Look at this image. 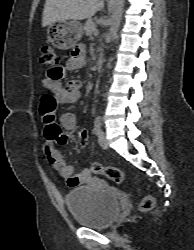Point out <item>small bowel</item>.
Wrapping results in <instances>:
<instances>
[{
  "label": "small bowel",
  "mask_w": 194,
  "mask_h": 250,
  "mask_svg": "<svg viewBox=\"0 0 194 250\" xmlns=\"http://www.w3.org/2000/svg\"><path fill=\"white\" fill-rule=\"evenodd\" d=\"M85 47L79 45L74 49V54L68 60L67 65L61 68V72L80 69L84 65ZM44 85L54 96L55 102L59 104L74 103L81 97L82 82L71 80L66 85L56 82L53 78H47ZM44 124L43 136L45 139L44 151L50 165L65 179L69 187H76L91 181V173L88 169H83L79 174H75L74 166L68 163L63 155L55 148L54 143L65 144L71 137V132L76 126V117L72 113H63L56 122L55 111H41ZM61 127L65 130L62 132ZM88 143V136L85 132L78 134V140Z\"/></svg>",
  "instance_id": "obj_1"
}]
</instances>
